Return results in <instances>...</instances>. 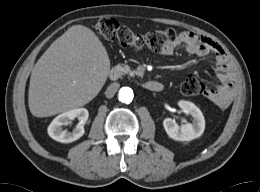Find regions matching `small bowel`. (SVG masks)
I'll return each instance as SVG.
<instances>
[{
	"label": "small bowel",
	"instance_id": "obj_1",
	"mask_svg": "<svg viewBox=\"0 0 260 192\" xmlns=\"http://www.w3.org/2000/svg\"><path fill=\"white\" fill-rule=\"evenodd\" d=\"M182 44L191 55L204 57L213 53L215 55L216 76L218 84L213 89H205L204 96L221 108L227 107L237 90V81L228 59L215 41L199 35L193 31H184L180 38L172 45L161 51L163 55H172L175 48Z\"/></svg>",
	"mask_w": 260,
	"mask_h": 192
}]
</instances>
